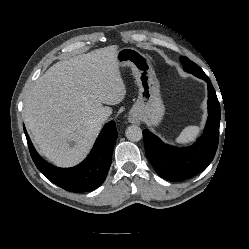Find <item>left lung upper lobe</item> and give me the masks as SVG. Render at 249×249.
Here are the masks:
<instances>
[{"label":"left lung upper lobe","instance_id":"1","mask_svg":"<svg viewBox=\"0 0 249 249\" xmlns=\"http://www.w3.org/2000/svg\"><path fill=\"white\" fill-rule=\"evenodd\" d=\"M180 61L184 67V70L189 73L203 71L200 67H198L194 62L190 61L187 57L182 56L180 58Z\"/></svg>","mask_w":249,"mask_h":249}]
</instances>
